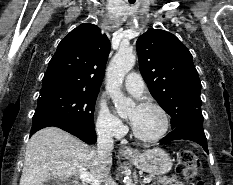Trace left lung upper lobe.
I'll return each instance as SVG.
<instances>
[{
    "mask_svg": "<svg viewBox=\"0 0 233 185\" xmlns=\"http://www.w3.org/2000/svg\"><path fill=\"white\" fill-rule=\"evenodd\" d=\"M140 72L175 129L201 113V83L187 47L173 34L150 29L136 43Z\"/></svg>",
    "mask_w": 233,
    "mask_h": 185,
    "instance_id": "1",
    "label": "left lung upper lobe"
}]
</instances>
